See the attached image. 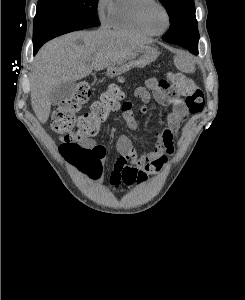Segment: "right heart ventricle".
Instances as JSON below:
<instances>
[{"instance_id": "right-heart-ventricle-1", "label": "right heart ventricle", "mask_w": 245, "mask_h": 300, "mask_svg": "<svg viewBox=\"0 0 245 300\" xmlns=\"http://www.w3.org/2000/svg\"><path fill=\"white\" fill-rule=\"evenodd\" d=\"M141 0H114L108 25L118 31L150 35L138 23L137 8Z\"/></svg>"}]
</instances>
